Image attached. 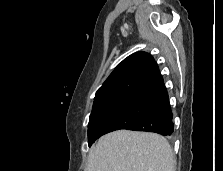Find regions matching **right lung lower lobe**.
Returning <instances> with one entry per match:
<instances>
[{
  "label": "right lung lower lobe",
  "mask_w": 223,
  "mask_h": 171,
  "mask_svg": "<svg viewBox=\"0 0 223 171\" xmlns=\"http://www.w3.org/2000/svg\"><path fill=\"white\" fill-rule=\"evenodd\" d=\"M168 93L162 82L137 96L102 131L101 136L119 129L171 135L174 130Z\"/></svg>",
  "instance_id": "obj_1"
}]
</instances>
